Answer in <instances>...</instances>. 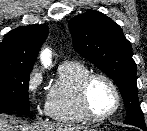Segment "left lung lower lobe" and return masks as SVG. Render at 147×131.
Instances as JSON below:
<instances>
[{
  "mask_svg": "<svg viewBox=\"0 0 147 131\" xmlns=\"http://www.w3.org/2000/svg\"><path fill=\"white\" fill-rule=\"evenodd\" d=\"M140 128L143 129L144 131H146V127L145 126H142Z\"/></svg>",
  "mask_w": 147,
  "mask_h": 131,
  "instance_id": "1",
  "label": "left lung lower lobe"
}]
</instances>
